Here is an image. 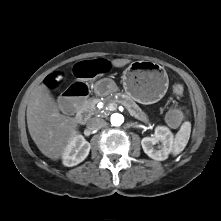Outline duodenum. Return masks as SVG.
Wrapping results in <instances>:
<instances>
[{"label": "duodenum", "instance_id": "obj_1", "mask_svg": "<svg viewBox=\"0 0 221 221\" xmlns=\"http://www.w3.org/2000/svg\"><path fill=\"white\" fill-rule=\"evenodd\" d=\"M76 118L79 123H82V124L85 123L88 118L87 110L85 108L79 109V111L77 112Z\"/></svg>", "mask_w": 221, "mask_h": 221}]
</instances>
